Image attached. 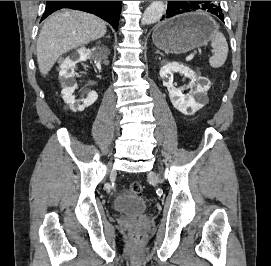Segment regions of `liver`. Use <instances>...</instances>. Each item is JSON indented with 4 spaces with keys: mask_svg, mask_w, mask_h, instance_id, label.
I'll list each match as a JSON object with an SVG mask.
<instances>
[{
    "mask_svg": "<svg viewBox=\"0 0 271 266\" xmlns=\"http://www.w3.org/2000/svg\"><path fill=\"white\" fill-rule=\"evenodd\" d=\"M106 31V23L92 14L77 10L54 13L44 23L37 41L41 74H48L62 54L102 38Z\"/></svg>",
    "mask_w": 271,
    "mask_h": 266,
    "instance_id": "1",
    "label": "liver"
}]
</instances>
